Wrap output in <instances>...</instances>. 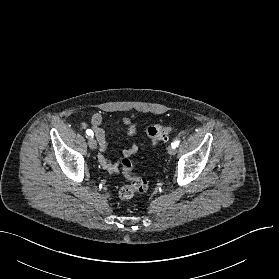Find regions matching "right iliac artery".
<instances>
[{
	"mask_svg": "<svg viewBox=\"0 0 279 279\" xmlns=\"http://www.w3.org/2000/svg\"><path fill=\"white\" fill-rule=\"evenodd\" d=\"M86 134H87L88 136H93V131L90 130V129H87V130H86Z\"/></svg>",
	"mask_w": 279,
	"mask_h": 279,
	"instance_id": "obj_1",
	"label": "right iliac artery"
}]
</instances>
